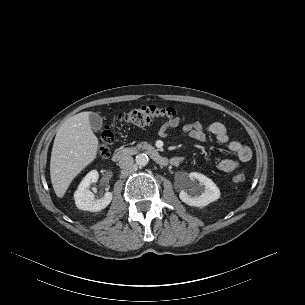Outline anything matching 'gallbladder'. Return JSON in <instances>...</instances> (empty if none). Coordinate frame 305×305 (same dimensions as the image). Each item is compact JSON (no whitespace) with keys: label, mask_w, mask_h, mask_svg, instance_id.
<instances>
[{"label":"gallbladder","mask_w":305,"mask_h":305,"mask_svg":"<svg viewBox=\"0 0 305 305\" xmlns=\"http://www.w3.org/2000/svg\"><path fill=\"white\" fill-rule=\"evenodd\" d=\"M90 126L95 132H99L102 128V117L95 113L91 112L89 115Z\"/></svg>","instance_id":"gallbladder-1"}]
</instances>
